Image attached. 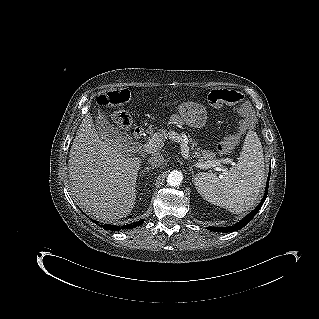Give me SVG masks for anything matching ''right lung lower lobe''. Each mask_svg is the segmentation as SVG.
I'll use <instances>...</instances> for the list:
<instances>
[{
	"label": "right lung lower lobe",
	"instance_id": "right-lung-lower-lobe-1",
	"mask_svg": "<svg viewBox=\"0 0 319 319\" xmlns=\"http://www.w3.org/2000/svg\"><path fill=\"white\" fill-rule=\"evenodd\" d=\"M92 220V219H91ZM93 221V220H92ZM94 223L97 224L96 221H93ZM143 223L142 221L136 222V223H132V224H128V225H124V226H116V225H110V224H104L103 228L107 229V230H111V231H119V230H123V229H130V228H135L137 226H140Z\"/></svg>",
	"mask_w": 319,
	"mask_h": 319
}]
</instances>
